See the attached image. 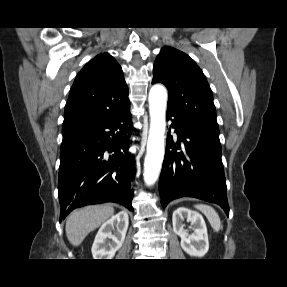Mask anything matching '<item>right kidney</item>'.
<instances>
[{"mask_svg":"<svg viewBox=\"0 0 287 287\" xmlns=\"http://www.w3.org/2000/svg\"><path fill=\"white\" fill-rule=\"evenodd\" d=\"M129 225L128 214L121 211L107 220L99 229L92 245L94 259H112L125 240Z\"/></svg>","mask_w":287,"mask_h":287,"instance_id":"1","label":"right kidney"}]
</instances>
